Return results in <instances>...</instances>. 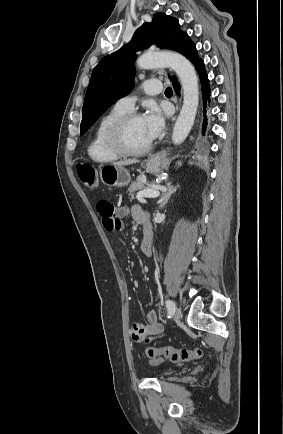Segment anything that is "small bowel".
I'll return each mask as SVG.
<instances>
[{"mask_svg":"<svg viewBox=\"0 0 283 434\" xmlns=\"http://www.w3.org/2000/svg\"><path fill=\"white\" fill-rule=\"evenodd\" d=\"M96 209L102 217V224L107 231L118 232L124 227L122 218L131 215L139 224H148L147 213L139 206H133L131 209L126 207L117 208L115 205L105 198H101L96 203ZM142 251L146 255H151V244L142 243ZM132 339L140 342L148 340L150 337H158L163 335L164 327L157 321L156 314L149 311L145 314V324L134 323L131 326ZM160 357L150 358L151 363H160Z\"/></svg>","mask_w":283,"mask_h":434,"instance_id":"1","label":"small bowel"}]
</instances>
